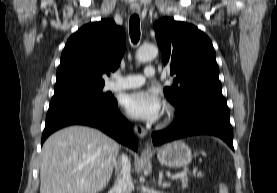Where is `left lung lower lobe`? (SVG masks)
Segmentation results:
<instances>
[{
	"mask_svg": "<svg viewBox=\"0 0 277 193\" xmlns=\"http://www.w3.org/2000/svg\"><path fill=\"white\" fill-rule=\"evenodd\" d=\"M201 134L220 137L234 150L230 112L221 92L203 93L192 98L183 109L177 111L169 128L152 133V140L154 145H161Z\"/></svg>",
	"mask_w": 277,
	"mask_h": 193,
	"instance_id": "0a47b994",
	"label": "left lung lower lobe"
}]
</instances>
